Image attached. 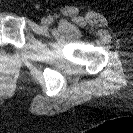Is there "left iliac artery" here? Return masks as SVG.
<instances>
[{"mask_svg":"<svg viewBox=\"0 0 133 133\" xmlns=\"http://www.w3.org/2000/svg\"><path fill=\"white\" fill-rule=\"evenodd\" d=\"M49 20H50V23H52V22H53V18H52V17H49Z\"/></svg>","mask_w":133,"mask_h":133,"instance_id":"obj_1","label":"left iliac artery"}]
</instances>
